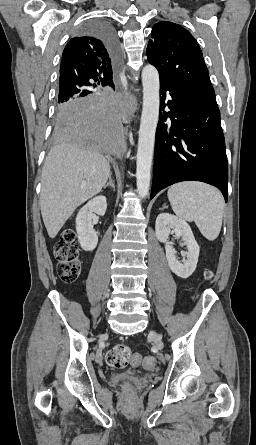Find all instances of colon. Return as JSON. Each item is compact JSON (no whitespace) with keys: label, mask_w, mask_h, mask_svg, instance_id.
Here are the masks:
<instances>
[{"label":"colon","mask_w":256,"mask_h":445,"mask_svg":"<svg viewBox=\"0 0 256 445\" xmlns=\"http://www.w3.org/2000/svg\"><path fill=\"white\" fill-rule=\"evenodd\" d=\"M78 251L79 246L76 233L73 230L64 231L54 248V253L58 260V272L63 281L71 282L79 276L81 262L78 257ZM211 276L212 273L207 270L205 277L209 279ZM144 361L149 367L154 365L152 358H146L141 354H132L130 347L126 344H117L106 354L107 364L117 369L125 368L130 362L133 365H140ZM123 389L126 392H132V387L129 383H124Z\"/></svg>","instance_id":"obj_1"}]
</instances>
